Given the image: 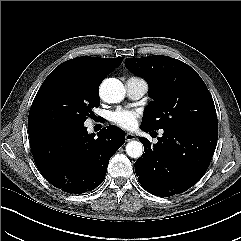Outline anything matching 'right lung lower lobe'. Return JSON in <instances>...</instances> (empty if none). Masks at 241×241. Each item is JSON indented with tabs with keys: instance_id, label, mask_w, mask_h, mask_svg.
Listing matches in <instances>:
<instances>
[{
	"instance_id": "obj_1",
	"label": "right lung lower lobe",
	"mask_w": 241,
	"mask_h": 241,
	"mask_svg": "<svg viewBox=\"0 0 241 241\" xmlns=\"http://www.w3.org/2000/svg\"><path fill=\"white\" fill-rule=\"evenodd\" d=\"M29 138L44 178L64 192L81 194L105 179L110 158L125 142V132L110 125L95 137L80 124L32 130Z\"/></svg>"
}]
</instances>
